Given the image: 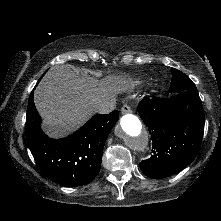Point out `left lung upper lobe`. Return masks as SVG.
<instances>
[{
  "label": "left lung upper lobe",
  "mask_w": 221,
  "mask_h": 221,
  "mask_svg": "<svg viewBox=\"0 0 221 221\" xmlns=\"http://www.w3.org/2000/svg\"><path fill=\"white\" fill-rule=\"evenodd\" d=\"M172 80L169 91L177 93L181 91H188L191 87H196L195 84L182 71L171 68Z\"/></svg>",
  "instance_id": "5c2ea615"
}]
</instances>
